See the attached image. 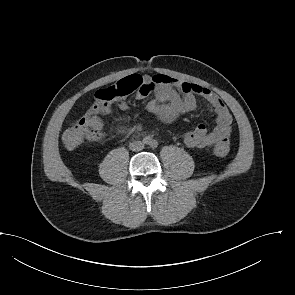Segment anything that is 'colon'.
Returning a JSON list of instances; mask_svg holds the SVG:
<instances>
[{
    "mask_svg": "<svg viewBox=\"0 0 295 295\" xmlns=\"http://www.w3.org/2000/svg\"><path fill=\"white\" fill-rule=\"evenodd\" d=\"M142 88L143 78L140 75L133 74L107 88L97 91L93 105L81 118L72 123L63 132L62 141L65 147L75 149L84 140L97 139L100 114L104 113L108 107L115 105L119 99ZM229 150V142H223L214 148V153L218 156H225Z\"/></svg>",
    "mask_w": 295,
    "mask_h": 295,
    "instance_id": "1",
    "label": "colon"
}]
</instances>
